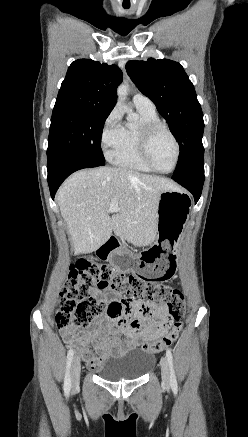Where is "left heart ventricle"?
I'll use <instances>...</instances> for the list:
<instances>
[{"mask_svg":"<svg viewBox=\"0 0 248 437\" xmlns=\"http://www.w3.org/2000/svg\"><path fill=\"white\" fill-rule=\"evenodd\" d=\"M176 148L172 138L163 130L158 131L150 144V157L160 170H169L174 163Z\"/></svg>","mask_w":248,"mask_h":437,"instance_id":"left-heart-ventricle-1","label":"left heart ventricle"}]
</instances>
